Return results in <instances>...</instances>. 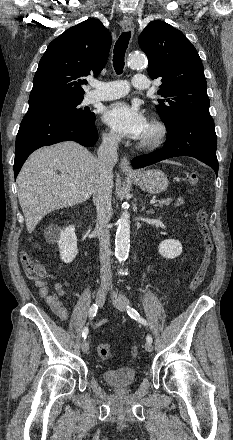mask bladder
I'll list each match as a JSON object with an SVG mask.
<instances>
[{
  "mask_svg": "<svg viewBox=\"0 0 233 440\" xmlns=\"http://www.w3.org/2000/svg\"><path fill=\"white\" fill-rule=\"evenodd\" d=\"M104 381L116 388H124L133 385L136 380V372L131 367H120L103 371Z\"/></svg>",
  "mask_w": 233,
  "mask_h": 440,
  "instance_id": "bladder-1",
  "label": "bladder"
}]
</instances>
